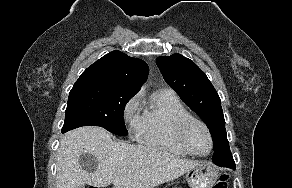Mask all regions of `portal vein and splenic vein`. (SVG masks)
<instances>
[{
  "label": "portal vein and splenic vein",
  "instance_id": "1",
  "mask_svg": "<svg viewBox=\"0 0 292 188\" xmlns=\"http://www.w3.org/2000/svg\"><path fill=\"white\" fill-rule=\"evenodd\" d=\"M125 171H126V170H120L119 173L122 174V173H125Z\"/></svg>",
  "mask_w": 292,
  "mask_h": 188
}]
</instances>
